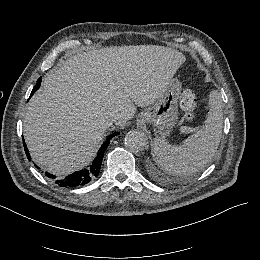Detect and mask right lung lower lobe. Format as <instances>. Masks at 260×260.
I'll list each match as a JSON object with an SVG mask.
<instances>
[{"label":"right lung lower lobe","instance_id":"right-lung-lower-lobe-1","mask_svg":"<svg viewBox=\"0 0 260 260\" xmlns=\"http://www.w3.org/2000/svg\"><path fill=\"white\" fill-rule=\"evenodd\" d=\"M40 84H41V77L38 79L37 84L34 87L30 97L40 87ZM118 134L119 133H114V134L110 135L107 138V140L102 144L100 150L98 151L97 157L95 158V160L93 161V164L91 165V167L89 169H84L81 171L74 172L63 178H56L55 175H52L48 172L44 173L45 176L48 177L49 179L53 180L55 182V184H57L58 186L66 187V188L79 187V186H83V185L89 183L94 177L98 176V174L100 172L104 152H105L106 148L108 147L110 140ZM24 149H25L28 160H31V157L29 155V152H28V149H27L25 143H24Z\"/></svg>","mask_w":260,"mask_h":260}]
</instances>
